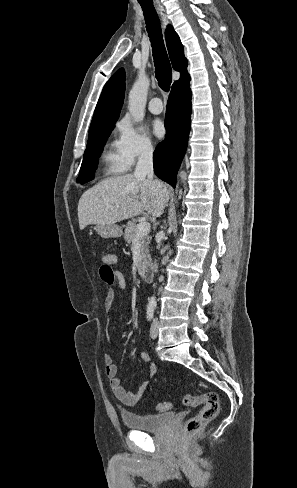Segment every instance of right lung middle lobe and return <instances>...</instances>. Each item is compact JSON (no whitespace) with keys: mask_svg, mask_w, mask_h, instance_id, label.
Listing matches in <instances>:
<instances>
[{"mask_svg":"<svg viewBox=\"0 0 297 488\" xmlns=\"http://www.w3.org/2000/svg\"><path fill=\"white\" fill-rule=\"evenodd\" d=\"M114 125L98 126L89 132L87 147L83 156L80 173L76 179L77 183L84 184L94 178L98 158L103 151L105 141L111 134Z\"/></svg>","mask_w":297,"mask_h":488,"instance_id":"obj_1","label":"right lung middle lobe"}]
</instances>
